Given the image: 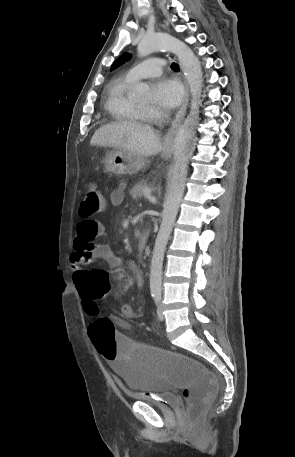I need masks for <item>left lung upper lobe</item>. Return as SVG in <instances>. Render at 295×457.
Here are the masks:
<instances>
[{"mask_svg": "<svg viewBox=\"0 0 295 457\" xmlns=\"http://www.w3.org/2000/svg\"><path fill=\"white\" fill-rule=\"evenodd\" d=\"M130 57V54L128 53H125L123 54L122 56H120L112 65L111 67V70L117 68L118 66H120L121 64H123L126 60H128V58Z\"/></svg>", "mask_w": 295, "mask_h": 457, "instance_id": "5c2ea615", "label": "left lung upper lobe"}]
</instances>
